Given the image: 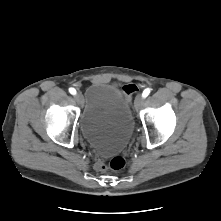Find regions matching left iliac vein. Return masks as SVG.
Masks as SVG:
<instances>
[{"instance_id": "4c4485c4", "label": "left iliac vein", "mask_w": 221, "mask_h": 221, "mask_svg": "<svg viewBox=\"0 0 221 221\" xmlns=\"http://www.w3.org/2000/svg\"><path fill=\"white\" fill-rule=\"evenodd\" d=\"M144 103V97L141 94H138L134 101V107L136 110H139Z\"/></svg>"}]
</instances>
